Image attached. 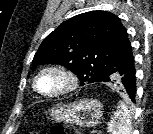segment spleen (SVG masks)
Returning <instances> with one entry per match:
<instances>
[{
  "instance_id": "3e777b00",
  "label": "spleen",
  "mask_w": 153,
  "mask_h": 134,
  "mask_svg": "<svg viewBox=\"0 0 153 134\" xmlns=\"http://www.w3.org/2000/svg\"><path fill=\"white\" fill-rule=\"evenodd\" d=\"M109 134H132V113L124 102H119L108 122Z\"/></svg>"
}]
</instances>
